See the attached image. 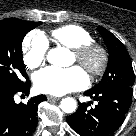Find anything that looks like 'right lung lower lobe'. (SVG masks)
<instances>
[{"mask_svg":"<svg viewBox=\"0 0 136 136\" xmlns=\"http://www.w3.org/2000/svg\"><path fill=\"white\" fill-rule=\"evenodd\" d=\"M30 85L27 80L14 91L0 92V136H29L38 123V105L46 100V96L31 98L27 104L14 101L18 92L28 95Z\"/></svg>","mask_w":136,"mask_h":136,"instance_id":"obj_1","label":"right lung lower lobe"}]
</instances>
